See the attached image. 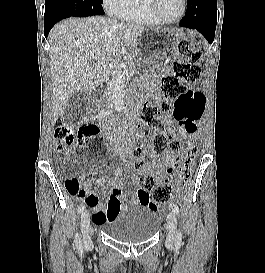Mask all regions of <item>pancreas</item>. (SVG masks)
Wrapping results in <instances>:
<instances>
[{"label": "pancreas", "mask_w": 265, "mask_h": 273, "mask_svg": "<svg viewBox=\"0 0 265 273\" xmlns=\"http://www.w3.org/2000/svg\"><path fill=\"white\" fill-rule=\"evenodd\" d=\"M136 72V62L132 58H127L120 61L114 69L112 74V78L105 95V104L103 105L106 111L111 110V104L113 102V94L115 91V87L118 85L119 82L125 83L126 80L132 77Z\"/></svg>", "instance_id": "obj_1"}]
</instances>
